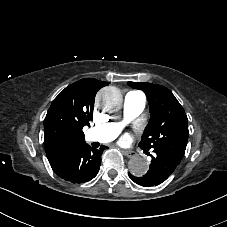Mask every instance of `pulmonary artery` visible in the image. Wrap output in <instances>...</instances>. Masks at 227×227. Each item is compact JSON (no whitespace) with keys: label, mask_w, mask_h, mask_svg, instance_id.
<instances>
[{"label":"pulmonary artery","mask_w":227,"mask_h":227,"mask_svg":"<svg viewBox=\"0 0 227 227\" xmlns=\"http://www.w3.org/2000/svg\"><path fill=\"white\" fill-rule=\"evenodd\" d=\"M146 99L137 89L130 90L124 97V112L127 116L134 117L145 107ZM121 123H105L91 127L85 132L84 140L88 144L94 142L106 143L113 140L121 130Z\"/></svg>","instance_id":"pulmonary-artery-1"}]
</instances>
